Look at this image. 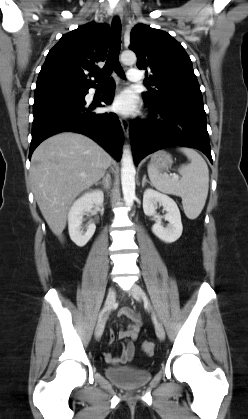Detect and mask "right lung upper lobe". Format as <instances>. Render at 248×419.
<instances>
[{"label":"right lung upper lobe","instance_id":"right-lung-upper-lobe-1","mask_svg":"<svg viewBox=\"0 0 248 419\" xmlns=\"http://www.w3.org/2000/svg\"><path fill=\"white\" fill-rule=\"evenodd\" d=\"M108 41L109 26L94 22L63 35L46 57L34 97L95 87L87 77L99 71L96 64L106 59Z\"/></svg>","mask_w":248,"mask_h":419}]
</instances>
